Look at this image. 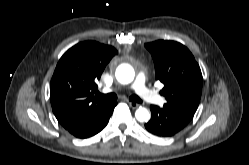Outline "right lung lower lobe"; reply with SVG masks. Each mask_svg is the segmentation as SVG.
I'll list each match as a JSON object with an SVG mask.
<instances>
[{
	"instance_id": "1",
	"label": "right lung lower lobe",
	"mask_w": 249,
	"mask_h": 165,
	"mask_svg": "<svg viewBox=\"0 0 249 165\" xmlns=\"http://www.w3.org/2000/svg\"><path fill=\"white\" fill-rule=\"evenodd\" d=\"M117 103L110 102L93 116L68 128L67 130L77 138H88L100 132L108 123Z\"/></svg>"
}]
</instances>
